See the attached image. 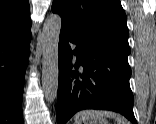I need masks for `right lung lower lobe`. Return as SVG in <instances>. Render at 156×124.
Instances as JSON below:
<instances>
[{"mask_svg":"<svg viewBox=\"0 0 156 124\" xmlns=\"http://www.w3.org/2000/svg\"><path fill=\"white\" fill-rule=\"evenodd\" d=\"M30 29L0 34V124H24L22 96Z\"/></svg>","mask_w":156,"mask_h":124,"instance_id":"98d812e1","label":"right lung lower lobe"}]
</instances>
